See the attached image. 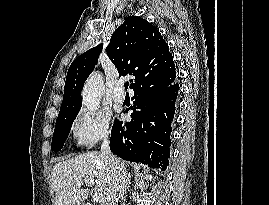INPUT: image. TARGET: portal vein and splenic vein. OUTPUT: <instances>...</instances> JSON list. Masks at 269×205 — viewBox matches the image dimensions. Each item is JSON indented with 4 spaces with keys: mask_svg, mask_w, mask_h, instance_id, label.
I'll return each mask as SVG.
<instances>
[{
    "mask_svg": "<svg viewBox=\"0 0 269 205\" xmlns=\"http://www.w3.org/2000/svg\"><path fill=\"white\" fill-rule=\"evenodd\" d=\"M82 183H85V184H88V185H94L95 184V181L93 178H87V179H84L83 181H76V184L78 186H80ZM102 197H103V194L100 193V192H96L94 195H93V200L95 202H100L102 200Z\"/></svg>",
    "mask_w": 269,
    "mask_h": 205,
    "instance_id": "obj_1",
    "label": "portal vein and splenic vein"
}]
</instances>
